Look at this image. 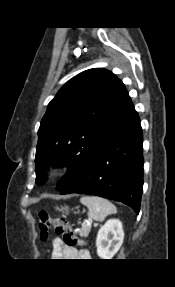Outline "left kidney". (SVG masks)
I'll return each mask as SVG.
<instances>
[{
  "mask_svg": "<svg viewBox=\"0 0 175 287\" xmlns=\"http://www.w3.org/2000/svg\"><path fill=\"white\" fill-rule=\"evenodd\" d=\"M124 239L120 220H108L98 231L96 238L97 255L102 259H111L120 249Z\"/></svg>",
  "mask_w": 175,
  "mask_h": 287,
  "instance_id": "1",
  "label": "left kidney"
}]
</instances>
